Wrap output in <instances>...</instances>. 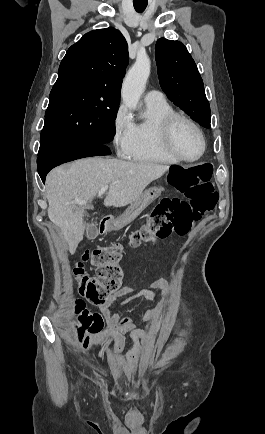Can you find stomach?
I'll return each instance as SVG.
<instances>
[{
	"instance_id": "0dacf381",
	"label": "stomach",
	"mask_w": 265,
	"mask_h": 434,
	"mask_svg": "<svg viewBox=\"0 0 265 434\" xmlns=\"http://www.w3.org/2000/svg\"><path fill=\"white\" fill-rule=\"evenodd\" d=\"M161 188H157V186H153V188H149V190H145L143 194H140L138 198H136L135 202H132L131 206H129L128 210H126L125 214H123L121 220L128 224V222H132L134 218H137L153 200L159 198L161 196ZM119 220H115L114 224L109 225V230L114 232H119L122 229L121 224L118 223Z\"/></svg>"
}]
</instances>
